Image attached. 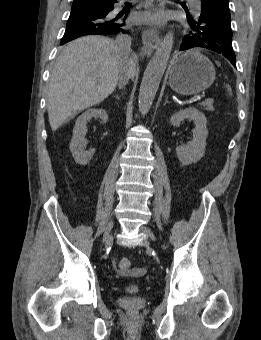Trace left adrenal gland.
Wrapping results in <instances>:
<instances>
[{"mask_svg":"<svg viewBox=\"0 0 261 340\" xmlns=\"http://www.w3.org/2000/svg\"><path fill=\"white\" fill-rule=\"evenodd\" d=\"M168 103V96L166 97V100L164 102V106Z\"/></svg>","mask_w":261,"mask_h":340,"instance_id":"left-adrenal-gland-1","label":"left adrenal gland"}]
</instances>
